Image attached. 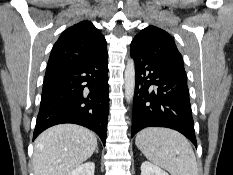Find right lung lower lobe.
Wrapping results in <instances>:
<instances>
[{
	"mask_svg": "<svg viewBox=\"0 0 233 175\" xmlns=\"http://www.w3.org/2000/svg\"><path fill=\"white\" fill-rule=\"evenodd\" d=\"M109 114L108 55L45 75L33 140L45 129L62 123L85 126L103 144Z\"/></svg>",
	"mask_w": 233,
	"mask_h": 175,
	"instance_id": "obj_1",
	"label": "right lung lower lobe"
}]
</instances>
